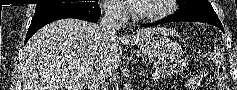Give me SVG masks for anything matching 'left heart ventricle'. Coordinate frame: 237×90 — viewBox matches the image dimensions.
<instances>
[{
	"label": "left heart ventricle",
	"mask_w": 237,
	"mask_h": 90,
	"mask_svg": "<svg viewBox=\"0 0 237 90\" xmlns=\"http://www.w3.org/2000/svg\"><path fill=\"white\" fill-rule=\"evenodd\" d=\"M162 2H163V0L140 1L137 6L139 8H142L146 12L155 13L161 9V7L163 5Z\"/></svg>",
	"instance_id": "obj_1"
}]
</instances>
